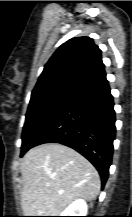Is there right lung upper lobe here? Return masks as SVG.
Segmentation results:
<instances>
[{
	"mask_svg": "<svg viewBox=\"0 0 132 217\" xmlns=\"http://www.w3.org/2000/svg\"><path fill=\"white\" fill-rule=\"evenodd\" d=\"M101 50L89 37L61 45L44 67L31 96L54 91L78 95L107 84Z\"/></svg>",
	"mask_w": 132,
	"mask_h": 217,
	"instance_id": "right-lung-upper-lobe-1",
	"label": "right lung upper lobe"
}]
</instances>
